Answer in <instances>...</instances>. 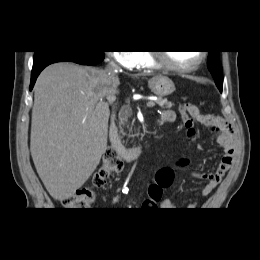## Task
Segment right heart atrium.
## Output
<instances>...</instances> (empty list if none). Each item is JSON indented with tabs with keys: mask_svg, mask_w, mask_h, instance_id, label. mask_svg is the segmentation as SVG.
Returning a JSON list of instances; mask_svg holds the SVG:
<instances>
[{
	"mask_svg": "<svg viewBox=\"0 0 260 260\" xmlns=\"http://www.w3.org/2000/svg\"><path fill=\"white\" fill-rule=\"evenodd\" d=\"M115 63L126 69H132L139 65L141 54L138 51H115L111 53Z\"/></svg>",
	"mask_w": 260,
	"mask_h": 260,
	"instance_id": "obj_1",
	"label": "right heart atrium"
}]
</instances>
